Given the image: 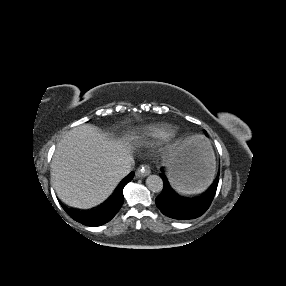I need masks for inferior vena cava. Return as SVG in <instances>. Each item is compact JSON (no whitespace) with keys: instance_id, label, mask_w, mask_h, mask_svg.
Instances as JSON below:
<instances>
[{"instance_id":"obj_1","label":"inferior vena cava","mask_w":286,"mask_h":286,"mask_svg":"<svg viewBox=\"0 0 286 286\" xmlns=\"http://www.w3.org/2000/svg\"><path fill=\"white\" fill-rule=\"evenodd\" d=\"M134 167V159L132 157L121 160L116 166L115 173L119 177L123 178L127 176Z\"/></svg>"}]
</instances>
